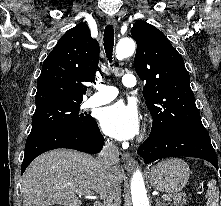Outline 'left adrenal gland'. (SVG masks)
Masks as SVG:
<instances>
[{
  "label": "left adrenal gland",
  "instance_id": "a2214340",
  "mask_svg": "<svg viewBox=\"0 0 221 206\" xmlns=\"http://www.w3.org/2000/svg\"><path fill=\"white\" fill-rule=\"evenodd\" d=\"M156 206H165V203H162L159 198L156 199Z\"/></svg>",
  "mask_w": 221,
  "mask_h": 206
}]
</instances>
